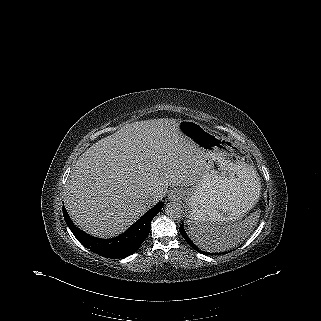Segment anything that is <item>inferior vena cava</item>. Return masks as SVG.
Instances as JSON below:
<instances>
[{
	"instance_id": "obj_1",
	"label": "inferior vena cava",
	"mask_w": 321,
	"mask_h": 321,
	"mask_svg": "<svg viewBox=\"0 0 321 321\" xmlns=\"http://www.w3.org/2000/svg\"><path fill=\"white\" fill-rule=\"evenodd\" d=\"M146 202L149 204V205H155L157 202H158V197L156 195H153L151 197H148L146 199Z\"/></svg>"
}]
</instances>
